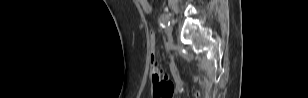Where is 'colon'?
<instances>
[{
  "label": "colon",
  "instance_id": "colon-1",
  "mask_svg": "<svg viewBox=\"0 0 308 98\" xmlns=\"http://www.w3.org/2000/svg\"><path fill=\"white\" fill-rule=\"evenodd\" d=\"M151 41L152 44H154L153 38ZM150 72H151L153 96L155 98H169L170 96H172L174 91V86L166 76L161 75L158 67L156 52L154 49L152 50L151 53ZM198 95L199 94H197V96Z\"/></svg>",
  "mask_w": 308,
  "mask_h": 98
}]
</instances>
